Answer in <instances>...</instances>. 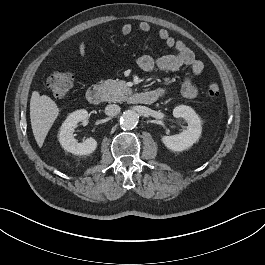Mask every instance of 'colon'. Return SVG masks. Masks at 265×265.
<instances>
[{
    "mask_svg": "<svg viewBox=\"0 0 265 265\" xmlns=\"http://www.w3.org/2000/svg\"><path fill=\"white\" fill-rule=\"evenodd\" d=\"M73 76L68 72H54L47 80V87L53 97L57 99H62L66 97L72 86H73ZM220 85L216 82H211L207 87V93L209 96L215 97L220 94Z\"/></svg>",
    "mask_w": 265,
    "mask_h": 265,
    "instance_id": "obj_1",
    "label": "colon"
}]
</instances>
